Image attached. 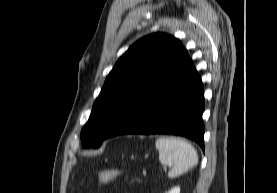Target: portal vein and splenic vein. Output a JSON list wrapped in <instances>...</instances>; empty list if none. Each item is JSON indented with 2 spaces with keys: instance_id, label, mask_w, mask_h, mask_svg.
Returning <instances> with one entry per match:
<instances>
[{
  "instance_id": "1",
  "label": "portal vein and splenic vein",
  "mask_w": 277,
  "mask_h": 193,
  "mask_svg": "<svg viewBox=\"0 0 277 193\" xmlns=\"http://www.w3.org/2000/svg\"><path fill=\"white\" fill-rule=\"evenodd\" d=\"M173 166V164H168V167L171 168ZM164 170H167V167H164Z\"/></svg>"
}]
</instances>
